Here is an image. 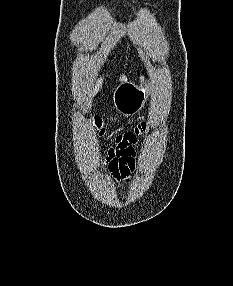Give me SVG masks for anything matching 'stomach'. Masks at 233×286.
<instances>
[{"mask_svg":"<svg viewBox=\"0 0 233 286\" xmlns=\"http://www.w3.org/2000/svg\"><path fill=\"white\" fill-rule=\"evenodd\" d=\"M149 86L144 83L141 86L124 81L113 93V104L116 110L124 116L136 114L144 106Z\"/></svg>","mask_w":233,"mask_h":286,"instance_id":"0dacf381","label":"stomach"}]
</instances>
